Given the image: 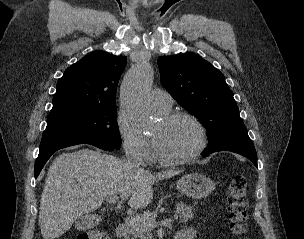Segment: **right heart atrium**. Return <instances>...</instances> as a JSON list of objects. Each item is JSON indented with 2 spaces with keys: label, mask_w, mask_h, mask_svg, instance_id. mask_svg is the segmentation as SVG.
<instances>
[{
  "label": "right heart atrium",
  "mask_w": 304,
  "mask_h": 239,
  "mask_svg": "<svg viewBox=\"0 0 304 239\" xmlns=\"http://www.w3.org/2000/svg\"><path fill=\"white\" fill-rule=\"evenodd\" d=\"M117 127L125 152L136 158L147 157L150 145L147 137L140 132L124 110L117 115Z\"/></svg>",
  "instance_id": "right-heart-atrium-1"
}]
</instances>
